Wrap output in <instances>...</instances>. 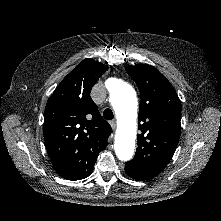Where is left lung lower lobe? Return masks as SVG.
I'll return each instance as SVG.
<instances>
[{"label":"left lung lower lobe","mask_w":221,"mask_h":221,"mask_svg":"<svg viewBox=\"0 0 221 221\" xmlns=\"http://www.w3.org/2000/svg\"><path fill=\"white\" fill-rule=\"evenodd\" d=\"M125 172H126L131 178L136 179V180H149V179H151V178H153V177L156 176V175H155V176H139V175H136V174L131 173V172L126 171V170H125Z\"/></svg>","instance_id":"1"}]
</instances>
